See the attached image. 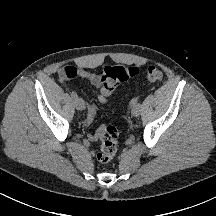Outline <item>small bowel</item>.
Instances as JSON below:
<instances>
[{
	"label": "small bowel",
	"mask_w": 216,
	"mask_h": 216,
	"mask_svg": "<svg viewBox=\"0 0 216 216\" xmlns=\"http://www.w3.org/2000/svg\"><path fill=\"white\" fill-rule=\"evenodd\" d=\"M77 76L82 78L86 82L90 83L95 88L97 99L101 104L106 105L109 102V97L111 93L103 90L101 82H100V78L98 75L86 69L80 68V69H77ZM95 112H96V107L93 104H89L88 114L85 119V124L87 126H90L93 123L94 118H95ZM90 139L96 140L97 133L90 134Z\"/></svg>",
	"instance_id": "c3829d8e"
}]
</instances>
